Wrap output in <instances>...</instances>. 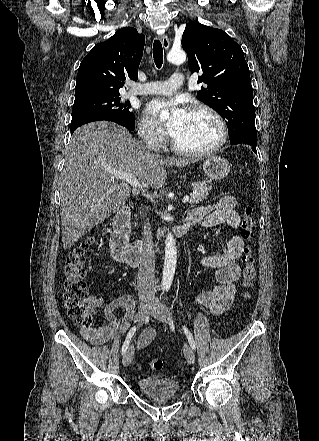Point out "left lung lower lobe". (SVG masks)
Here are the masks:
<instances>
[{
    "mask_svg": "<svg viewBox=\"0 0 319 441\" xmlns=\"http://www.w3.org/2000/svg\"><path fill=\"white\" fill-rule=\"evenodd\" d=\"M230 143H231L232 145H234V144H242V143H244V144H248V145L252 146V150H253L255 153H257V152H256V141L253 140V139H244V140H242L240 143H235V141L230 142Z\"/></svg>",
    "mask_w": 319,
    "mask_h": 441,
    "instance_id": "0a47b994",
    "label": "left lung lower lobe"
}]
</instances>
